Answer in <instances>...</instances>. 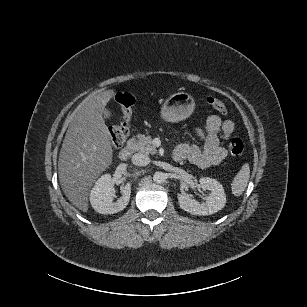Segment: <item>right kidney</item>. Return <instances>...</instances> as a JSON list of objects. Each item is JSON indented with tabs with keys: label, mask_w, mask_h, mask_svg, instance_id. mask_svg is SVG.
<instances>
[{
	"label": "right kidney",
	"mask_w": 307,
	"mask_h": 307,
	"mask_svg": "<svg viewBox=\"0 0 307 307\" xmlns=\"http://www.w3.org/2000/svg\"><path fill=\"white\" fill-rule=\"evenodd\" d=\"M121 196L114 201L116 194L111 184V174H102L94 183L90 194L89 201L92 208L102 214H112L124 209L130 199V186L121 189Z\"/></svg>",
	"instance_id": "1"
}]
</instances>
